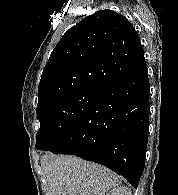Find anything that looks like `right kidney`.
<instances>
[{"mask_svg": "<svg viewBox=\"0 0 178 195\" xmlns=\"http://www.w3.org/2000/svg\"><path fill=\"white\" fill-rule=\"evenodd\" d=\"M107 195H131V190L124 186H118L111 189Z\"/></svg>", "mask_w": 178, "mask_h": 195, "instance_id": "obj_1", "label": "right kidney"}]
</instances>
